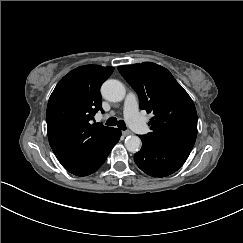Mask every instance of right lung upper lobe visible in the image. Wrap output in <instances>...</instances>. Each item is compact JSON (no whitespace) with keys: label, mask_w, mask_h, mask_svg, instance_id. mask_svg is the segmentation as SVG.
<instances>
[{"label":"right lung upper lobe","mask_w":243,"mask_h":243,"mask_svg":"<svg viewBox=\"0 0 243 243\" xmlns=\"http://www.w3.org/2000/svg\"><path fill=\"white\" fill-rule=\"evenodd\" d=\"M113 70L100 65L80 66L58 82L49 98V143L65 169L88 159L115 130L92 124L95 113H103L100 87Z\"/></svg>","instance_id":"cb5924a9"}]
</instances>
